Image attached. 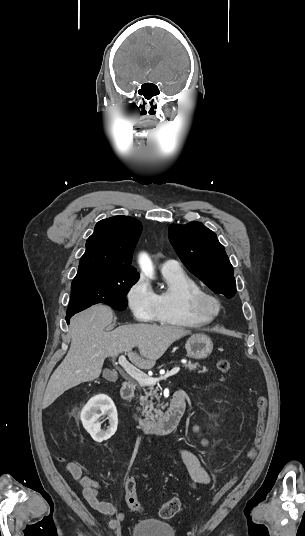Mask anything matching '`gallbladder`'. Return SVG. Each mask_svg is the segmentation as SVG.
<instances>
[{
  "label": "gallbladder",
  "instance_id": "gallbladder-1",
  "mask_svg": "<svg viewBox=\"0 0 305 536\" xmlns=\"http://www.w3.org/2000/svg\"><path fill=\"white\" fill-rule=\"evenodd\" d=\"M112 374L111 370H103V378H106V380H110Z\"/></svg>",
  "mask_w": 305,
  "mask_h": 536
}]
</instances>
